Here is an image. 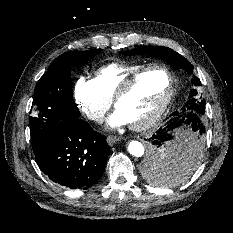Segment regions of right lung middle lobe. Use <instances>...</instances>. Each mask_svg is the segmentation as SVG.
I'll list each match as a JSON object with an SVG mask.
<instances>
[{
  "mask_svg": "<svg viewBox=\"0 0 233 233\" xmlns=\"http://www.w3.org/2000/svg\"><path fill=\"white\" fill-rule=\"evenodd\" d=\"M102 49L66 52L56 58L34 91L30 117V135L36 161L63 119H79L80 112L72 97L70 66H81Z\"/></svg>",
  "mask_w": 233,
  "mask_h": 233,
  "instance_id": "1",
  "label": "right lung middle lobe"
}]
</instances>
